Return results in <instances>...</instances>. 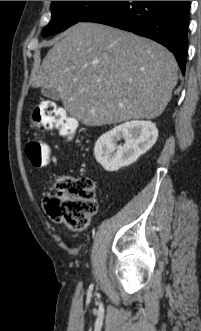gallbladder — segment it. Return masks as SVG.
Segmentation results:
<instances>
[{
    "label": "gallbladder",
    "mask_w": 201,
    "mask_h": 331,
    "mask_svg": "<svg viewBox=\"0 0 201 331\" xmlns=\"http://www.w3.org/2000/svg\"><path fill=\"white\" fill-rule=\"evenodd\" d=\"M41 93L44 97L52 100H60V94L55 88H42Z\"/></svg>",
    "instance_id": "bac80fb5"
}]
</instances>
